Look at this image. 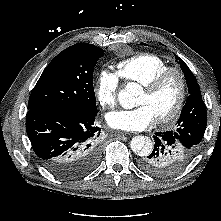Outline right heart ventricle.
<instances>
[{
  "instance_id": "1",
  "label": "right heart ventricle",
  "mask_w": 221,
  "mask_h": 221,
  "mask_svg": "<svg viewBox=\"0 0 221 221\" xmlns=\"http://www.w3.org/2000/svg\"><path fill=\"white\" fill-rule=\"evenodd\" d=\"M168 67V63L161 57L141 53L119 62L116 66V75L126 83L144 85Z\"/></svg>"
}]
</instances>
